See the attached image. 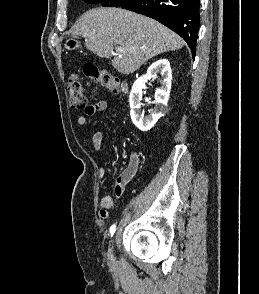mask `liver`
<instances>
[{
  "label": "liver",
  "mask_w": 259,
  "mask_h": 294,
  "mask_svg": "<svg viewBox=\"0 0 259 294\" xmlns=\"http://www.w3.org/2000/svg\"><path fill=\"white\" fill-rule=\"evenodd\" d=\"M70 33L82 36L87 49L102 58H111L114 46L122 47L111 62L125 75L156 55L184 46V40L161 23L121 8L91 9Z\"/></svg>",
  "instance_id": "6515ba94"
}]
</instances>
